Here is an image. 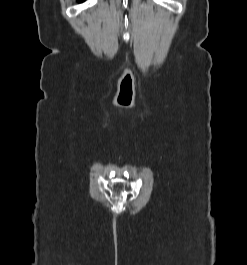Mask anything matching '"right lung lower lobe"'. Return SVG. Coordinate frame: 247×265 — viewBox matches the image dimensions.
Here are the masks:
<instances>
[{
    "instance_id": "right-lung-lower-lobe-1",
    "label": "right lung lower lobe",
    "mask_w": 247,
    "mask_h": 265,
    "mask_svg": "<svg viewBox=\"0 0 247 265\" xmlns=\"http://www.w3.org/2000/svg\"><path fill=\"white\" fill-rule=\"evenodd\" d=\"M78 1L82 2V1H84V0H78Z\"/></svg>"
}]
</instances>
